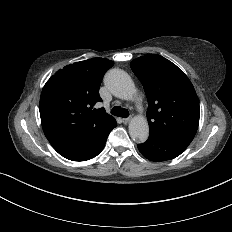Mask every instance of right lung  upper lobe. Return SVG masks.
<instances>
[{"mask_svg": "<svg viewBox=\"0 0 232 232\" xmlns=\"http://www.w3.org/2000/svg\"><path fill=\"white\" fill-rule=\"evenodd\" d=\"M114 62L92 58L65 66L43 87L40 117L49 141H71L109 126L115 119L105 109H93L102 99L99 88Z\"/></svg>", "mask_w": 232, "mask_h": 232, "instance_id": "right-lung-upper-lobe-1", "label": "right lung upper lobe"}]
</instances>
